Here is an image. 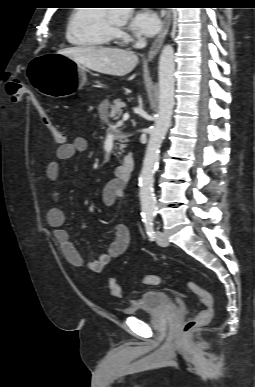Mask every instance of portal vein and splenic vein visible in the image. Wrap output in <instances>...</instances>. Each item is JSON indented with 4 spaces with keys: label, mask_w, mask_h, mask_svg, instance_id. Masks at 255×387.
Instances as JSON below:
<instances>
[{
    "label": "portal vein and splenic vein",
    "mask_w": 255,
    "mask_h": 387,
    "mask_svg": "<svg viewBox=\"0 0 255 387\" xmlns=\"http://www.w3.org/2000/svg\"><path fill=\"white\" fill-rule=\"evenodd\" d=\"M127 119H129V114H128V113H125V114L123 115L122 120H120V121L117 122V125H118V126L121 125V124H122L124 121H126Z\"/></svg>",
    "instance_id": "portal-vein-and-splenic-vein-1"
}]
</instances>
